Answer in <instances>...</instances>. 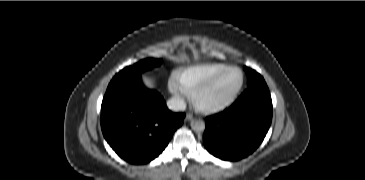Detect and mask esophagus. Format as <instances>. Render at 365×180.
Returning <instances> with one entry per match:
<instances>
[{
  "label": "esophagus",
  "mask_w": 365,
  "mask_h": 180,
  "mask_svg": "<svg viewBox=\"0 0 365 180\" xmlns=\"http://www.w3.org/2000/svg\"><path fill=\"white\" fill-rule=\"evenodd\" d=\"M193 118H194L193 114H191V113H187L186 116H185L186 121H191Z\"/></svg>",
  "instance_id": "34e87169"
}]
</instances>
